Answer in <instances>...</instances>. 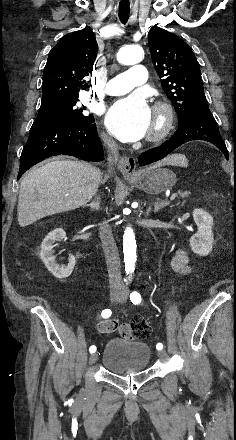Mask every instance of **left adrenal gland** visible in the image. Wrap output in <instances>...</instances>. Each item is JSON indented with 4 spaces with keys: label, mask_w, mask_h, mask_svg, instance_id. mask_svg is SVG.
Listing matches in <instances>:
<instances>
[{
    "label": "left adrenal gland",
    "mask_w": 236,
    "mask_h": 440,
    "mask_svg": "<svg viewBox=\"0 0 236 440\" xmlns=\"http://www.w3.org/2000/svg\"><path fill=\"white\" fill-rule=\"evenodd\" d=\"M157 201H159V199H157ZM169 201H163V202H155L154 203V212H158L160 209L166 207L167 205H169ZM151 210V207H149L148 211Z\"/></svg>",
    "instance_id": "1"
}]
</instances>
